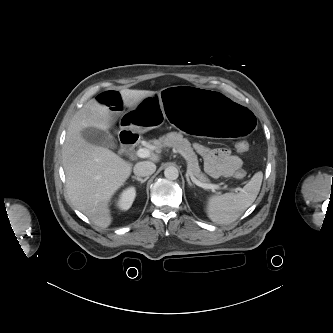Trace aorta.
Returning a JSON list of instances; mask_svg holds the SVG:
<instances>
[{
    "instance_id": "aorta-1",
    "label": "aorta",
    "mask_w": 333,
    "mask_h": 333,
    "mask_svg": "<svg viewBox=\"0 0 333 333\" xmlns=\"http://www.w3.org/2000/svg\"><path fill=\"white\" fill-rule=\"evenodd\" d=\"M164 176L169 180H176L179 176L178 169L174 166H169L164 170Z\"/></svg>"
}]
</instances>
